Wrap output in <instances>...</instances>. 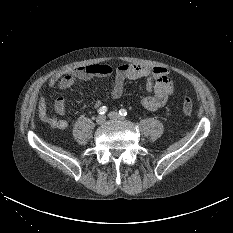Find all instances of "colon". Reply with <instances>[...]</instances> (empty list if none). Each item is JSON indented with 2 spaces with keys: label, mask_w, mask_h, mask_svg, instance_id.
Masks as SVG:
<instances>
[{
  "label": "colon",
  "mask_w": 233,
  "mask_h": 233,
  "mask_svg": "<svg viewBox=\"0 0 233 233\" xmlns=\"http://www.w3.org/2000/svg\"><path fill=\"white\" fill-rule=\"evenodd\" d=\"M182 109H183V112L186 115H188V116L192 115V113H193V103H192L190 98L183 97V99H182Z\"/></svg>",
  "instance_id": "obj_1"
}]
</instances>
